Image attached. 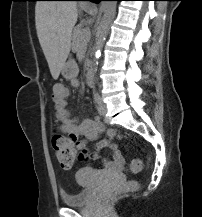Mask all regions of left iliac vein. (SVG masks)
Masks as SVG:
<instances>
[{
  "label": "left iliac vein",
  "instance_id": "1",
  "mask_svg": "<svg viewBox=\"0 0 202 217\" xmlns=\"http://www.w3.org/2000/svg\"><path fill=\"white\" fill-rule=\"evenodd\" d=\"M98 112L101 116H104L107 112V106L100 100L98 103Z\"/></svg>",
  "mask_w": 202,
  "mask_h": 217
}]
</instances>
